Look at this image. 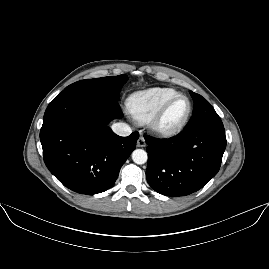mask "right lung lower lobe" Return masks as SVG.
Segmentation results:
<instances>
[{"label":"right lung lower lobe","mask_w":269,"mask_h":269,"mask_svg":"<svg viewBox=\"0 0 269 269\" xmlns=\"http://www.w3.org/2000/svg\"><path fill=\"white\" fill-rule=\"evenodd\" d=\"M122 116L118 100L77 91L58 94L40 131L47 168L80 194L109 189L139 138L138 132L120 137L110 129L108 123Z\"/></svg>","instance_id":"1"}]
</instances>
